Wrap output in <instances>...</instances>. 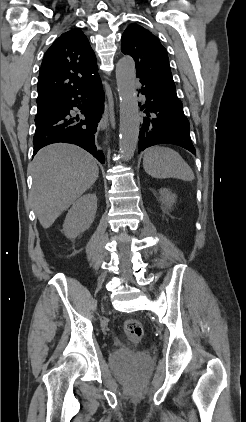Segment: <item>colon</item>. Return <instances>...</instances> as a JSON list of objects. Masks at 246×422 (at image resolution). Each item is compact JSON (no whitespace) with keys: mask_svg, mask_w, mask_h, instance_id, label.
<instances>
[{"mask_svg":"<svg viewBox=\"0 0 246 422\" xmlns=\"http://www.w3.org/2000/svg\"><path fill=\"white\" fill-rule=\"evenodd\" d=\"M123 330L127 338L134 344L142 341L144 329L142 323L135 318H128L124 321Z\"/></svg>","mask_w":246,"mask_h":422,"instance_id":"1","label":"colon"}]
</instances>
